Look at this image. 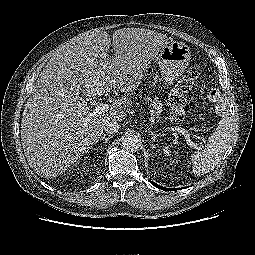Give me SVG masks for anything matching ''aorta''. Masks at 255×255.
<instances>
[{"label": "aorta", "instance_id": "1", "mask_svg": "<svg viewBox=\"0 0 255 255\" xmlns=\"http://www.w3.org/2000/svg\"><path fill=\"white\" fill-rule=\"evenodd\" d=\"M140 141L134 135L126 136L122 141V147L127 152H136L139 148Z\"/></svg>", "mask_w": 255, "mask_h": 255}]
</instances>
